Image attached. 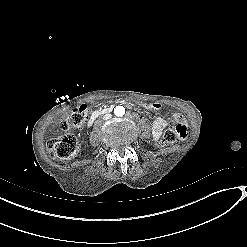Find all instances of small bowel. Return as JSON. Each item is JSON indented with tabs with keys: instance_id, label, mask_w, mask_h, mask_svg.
I'll list each match as a JSON object with an SVG mask.
<instances>
[{
	"instance_id": "1",
	"label": "small bowel",
	"mask_w": 247,
	"mask_h": 247,
	"mask_svg": "<svg viewBox=\"0 0 247 247\" xmlns=\"http://www.w3.org/2000/svg\"><path fill=\"white\" fill-rule=\"evenodd\" d=\"M183 117L181 114L175 113L171 117H157L153 122L152 132L154 140H159L163 129L170 123H181Z\"/></svg>"
}]
</instances>
